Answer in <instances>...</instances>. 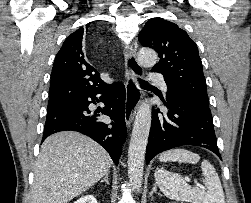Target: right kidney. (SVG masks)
Segmentation results:
<instances>
[{
  "instance_id": "obj_1",
  "label": "right kidney",
  "mask_w": 251,
  "mask_h": 203,
  "mask_svg": "<svg viewBox=\"0 0 251 203\" xmlns=\"http://www.w3.org/2000/svg\"><path fill=\"white\" fill-rule=\"evenodd\" d=\"M74 203H97V200L93 195H86V196H82Z\"/></svg>"
}]
</instances>
